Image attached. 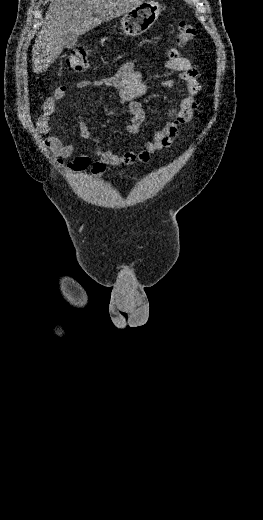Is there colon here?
I'll return each instance as SVG.
<instances>
[{
  "instance_id": "1",
  "label": "colon",
  "mask_w": 263,
  "mask_h": 520,
  "mask_svg": "<svg viewBox=\"0 0 263 520\" xmlns=\"http://www.w3.org/2000/svg\"><path fill=\"white\" fill-rule=\"evenodd\" d=\"M196 35V29L189 19L180 21L177 29V44L181 47L189 44ZM89 49L84 46L75 48L66 58L65 67L74 72H83L88 68Z\"/></svg>"
}]
</instances>
